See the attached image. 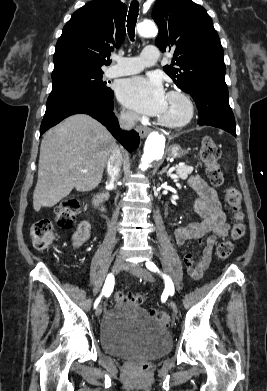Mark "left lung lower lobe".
<instances>
[{
    "mask_svg": "<svg viewBox=\"0 0 267 391\" xmlns=\"http://www.w3.org/2000/svg\"><path fill=\"white\" fill-rule=\"evenodd\" d=\"M199 111V126L221 128L233 136L235 119L228 101V89L219 86H204L189 93Z\"/></svg>",
    "mask_w": 267,
    "mask_h": 391,
    "instance_id": "obj_1",
    "label": "left lung lower lobe"
}]
</instances>
